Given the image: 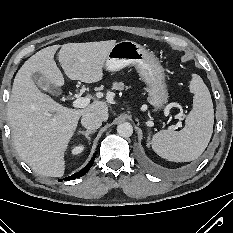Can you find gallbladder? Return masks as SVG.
Listing matches in <instances>:
<instances>
[{
  "label": "gallbladder",
  "mask_w": 233,
  "mask_h": 233,
  "mask_svg": "<svg viewBox=\"0 0 233 233\" xmlns=\"http://www.w3.org/2000/svg\"><path fill=\"white\" fill-rule=\"evenodd\" d=\"M32 79L42 89L50 90V92L53 94L61 93V90H59L58 88L52 89L53 86L51 85V83L48 80H46L44 77H42L39 73H34L32 75Z\"/></svg>",
  "instance_id": "obj_1"
}]
</instances>
